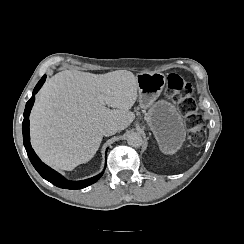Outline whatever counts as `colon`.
I'll use <instances>...</instances> for the list:
<instances>
[{
    "instance_id": "5ec220e1",
    "label": "colon",
    "mask_w": 244,
    "mask_h": 244,
    "mask_svg": "<svg viewBox=\"0 0 244 244\" xmlns=\"http://www.w3.org/2000/svg\"><path fill=\"white\" fill-rule=\"evenodd\" d=\"M166 94L178 102L180 111L187 116L190 141L193 144H201L205 140L206 132L201 123V115L197 112L191 85L180 75L170 74L167 77Z\"/></svg>"
}]
</instances>
